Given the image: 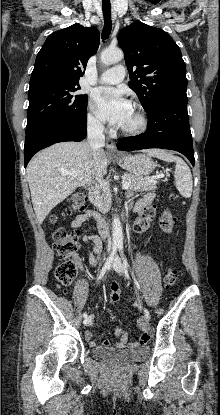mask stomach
Segmentation results:
<instances>
[{
	"label": "stomach",
	"instance_id": "0dacf381",
	"mask_svg": "<svg viewBox=\"0 0 220 415\" xmlns=\"http://www.w3.org/2000/svg\"><path fill=\"white\" fill-rule=\"evenodd\" d=\"M116 160L123 169L138 177L149 175L155 169V163L145 154L124 155Z\"/></svg>",
	"mask_w": 220,
	"mask_h": 415
}]
</instances>
